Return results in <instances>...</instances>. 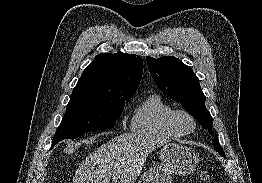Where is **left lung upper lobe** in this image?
<instances>
[{
  "instance_id": "1",
  "label": "left lung upper lobe",
  "mask_w": 262,
  "mask_h": 183,
  "mask_svg": "<svg viewBox=\"0 0 262 183\" xmlns=\"http://www.w3.org/2000/svg\"><path fill=\"white\" fill-rule=\"evenodd\" d=\"M146 60L152 78L158 84L159 89L171 99L180 102L211 133L213 120L205 107V95L192 68L171 56L158 59L146 57ZM212 144L221 156H225L218 138L215 137Z\"/></svg>"
}]
</instances>
